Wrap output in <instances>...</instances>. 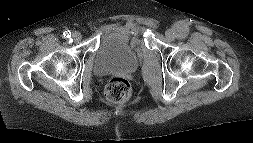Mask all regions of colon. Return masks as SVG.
Instances as JSON below:
<instances>
[{"instance_id": "5ec220e1", "label": "colon", "mask_w": 253, "mask_h": 143, "mask_svg": "<svg viewBox=\"0 0 253 143\" xmlns=\"http://www.w3.org/2000/svg\"><path fill=\"white\" fill-rule=\"evenodd\" d=\"M132 94L130 82L121 77L112 78L105 89V96L108 101L122 103L127 101Z\"/></svg>"}]
</instances>
